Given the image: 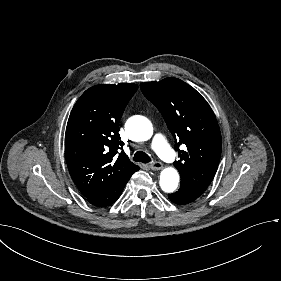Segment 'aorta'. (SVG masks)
<instances>
[{"mask_svg": "<svg viewBox=\"0 0 281 281\" xmlns=\"http://www.w3.org/2000/svg\"><path fill=\"white\" fill-rule=\"evenodd\" d=\"M126 131L135 141H147L153 135V126L147 118L137 116L127 122ZM178 183L179 174L175 168L168 167L161 171L159 184L164 192H174Z\"/></svg>", "mask_w": 281, "mask_h": 281, "instance_id": "obj_1", "label": "aorta"}]
</instances>
